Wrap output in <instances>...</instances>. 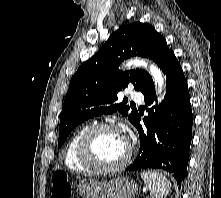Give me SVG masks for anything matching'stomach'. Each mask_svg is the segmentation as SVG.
<instances>
[{
    "label": "stomach",
    "instance_id": "obj_1",
    "mask_svg": "<svg viewBox=\"0 0 221 198\" xmlns=\"http://www.w3.org/2000/svg\"><path fill=\"white\" fill-rule=\"evenodd\" d=\"M82 198H132L138 191L137 183L129 178L99 182L85 179L78 185Z\"/></svg>",
    "mask_w": 221,
    "mask_h": 198
}]
</instances>
